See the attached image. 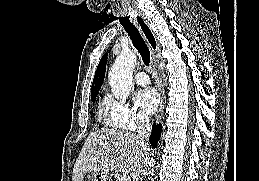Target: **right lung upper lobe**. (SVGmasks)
Segmentation results:
<instances>
[{
	"label": "right lung upper lobe",
	"instance_id": "right-lung-upper-lobe-1",
	"mask_svg": "<svg viewBox=\"0 0 259 181\" xmlns=\"http://www.w3.org/2000/svg\"><path fill=\"white\" fill-rule=\"evenodd\" d=\"M106 62H107V54H104L98 64V67L94 76L92 89H91V97L97 96L101 88V85L103 84L105 71H106Z\"/></svg>",
	"mask_w": 259,
	"mask_h": 181
}]
</instances>
